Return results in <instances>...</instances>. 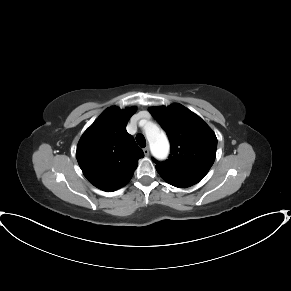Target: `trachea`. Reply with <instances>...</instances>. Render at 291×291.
I'll return each instance as SVG.
<instances>
[{"instance_id": "trachea-1", "label": "trachea", "mask_w": 291, "mask_h": 291, "mask_svg": "<svg viewBox=\"0 0 291 291\" xmlns=\"http://www.w3.org/2000/svg\"><path fill=\"white\" fill-rule=\"evenodd\" d=\"M136 141L140 147L144 148L146 146V140L142 134H137Z\"/></svg>"}]
</instances>
